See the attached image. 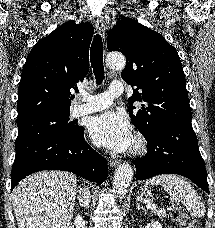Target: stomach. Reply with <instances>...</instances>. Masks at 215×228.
<instances>
[{"label": "stomach", "instance_id": "0dacf381", "mask_svg": "<svg viewBox=\"0 0 215 228\" xmlns=\"http://www.w3.org/2000/svg\"><path fill=\"white\" fill-rule=\"evenodd\" d=\"M145 192H147V190H143V194H145Z\"/></svg>", "mask_w": 215, "mask_h": 228}]
</instances>
